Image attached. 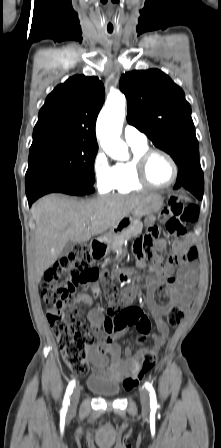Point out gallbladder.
I'll return each mask as SVG.
<instances>
[{
  "label": "gallbladder",
  "instance_id": "bac80fb5",
  "mask_svg": "<svg viewBox=\"0 0 221 448\" xmlns=\"http://www.w3.org/2000/svg\"><path fill=\"white\" fill-rule=\"evenodd\" d=\"M74 246V242L69 241L63 248V250L61 251L60 256H67L70 251L73 249Z\"/></svg>",
  "mask_w": 221,
  "mask_h": 448
}]
</instances>
